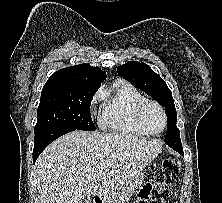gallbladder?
<instances>
[{
    "label": "gallbladder",
    "instance_id": "obj_1",
    "mask_svg": "<svg viewBox=\"0 0 222 203\" xmlns=\"http://www.w3.org/2000/svg\"><path fill=\"white\" fill-rule=\"evenodd\" d=\"M80 203H91V200L86 198V199H83L82 201H80Z\"/></svg>",
    "mask_w": 222,
    "mask_h": 203
}]
</instances>
